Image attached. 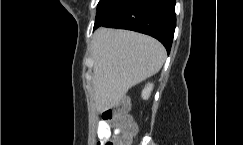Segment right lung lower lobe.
<instances>
[{
    "instance_id": "right-lung-lower-lobe-1",
    "label": "right lung lower lobe",
    "mask_w": 243,
    "mask_h": 145,
    "mask_svg": "<svg viewBox=\"0 0 243 145\" xmlns=\"http://www.w3.org/2000/svg\"><path fill=\"white\" fill-rule=\"evenodd\" d=\"M99 26L148 34L169 53L176 27L175 0H100L94 30Z\"/></svg>"
}]
</instances>
